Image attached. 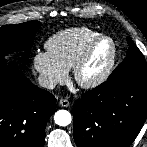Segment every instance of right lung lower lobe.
Segmentation results:
<instances>
[{"mask_svg": "<svg viewBox=\"0 0 147 147\" xmlns=\"http://www.w3.org/2000/svg\"><path fill=\"white\" fill-rule=\"evenodd\" d=\"M55 97L0 58V147H43Z\"/></svg>", "mask_w": 147, "mask_h": 147, "instance_id": "obj_1", "label": "right lung lower lobe"}]
</instances>
